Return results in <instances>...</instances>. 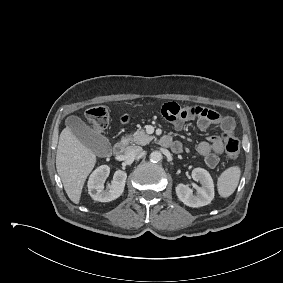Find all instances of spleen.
<instances>
[{
	"label": "spleen",
	"mask_w": 283,
	"mask_h": 283,
	"mask_svg": "<svg viewBox=\"0 0 283 283\" xmlns=\"http://www.w3.org/2000/svg\"><path fill=\"white\" fill-rule=\"evenodd\" d=\"M240 174V168L238 166H233L220 175L217 186L221 197L227 198L234 193L239 183Z\"/></svg>",
	"instance_id": "obj_1"
}]
</instances>
